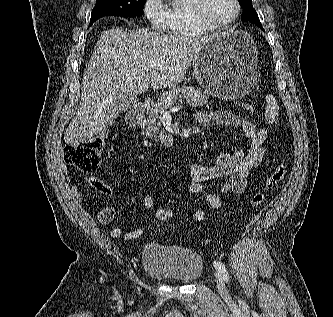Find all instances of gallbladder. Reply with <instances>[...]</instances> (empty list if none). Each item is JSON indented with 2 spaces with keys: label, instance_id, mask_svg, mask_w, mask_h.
Returning <instances> with one entry per match:
<instances>
[{
  "label": "gallbladder",
  "instance_id": "1",
  "mask_svg": "<svg viewBox=\"0 0 333 317\" xmlns=\"http://www.w3.org/2000/svg\"><path fill=\"white\" fill-rule=\"evenodd\" d=\"M138 99L136 96H118L116 105L120 112H125L135 107Z\"/></svg>",
  "mask_w": 333,
  "mask_h": 317
}]
</instances>
